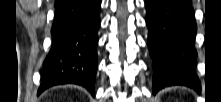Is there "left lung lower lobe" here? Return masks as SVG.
<instances>
[{"instance_id": "1", "label": "left lung lower lobe", "mask_w": 221, "mask_h": 102, "mask_svg": "<svg viewBox=\"0 0 221 102\" xmlns=\"http://www.w3.org/2000/svg\"><path fill=\"white\" fill-rule=\"evenodd\" d=\"M153 93L171 85L201 88L195 71L196 21L190 0H145Z\"/></svg>"}]
</instances>
